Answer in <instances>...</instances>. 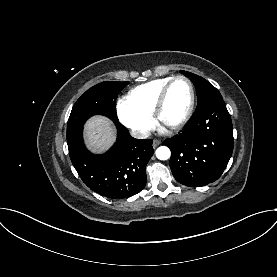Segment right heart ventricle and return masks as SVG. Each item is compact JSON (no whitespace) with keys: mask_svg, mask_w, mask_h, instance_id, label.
<instances>
[{"mask_svg":"<svg viewBox=\"0 0 277 277\" xmlns=\"http://www.w3.org/2000/svg\"><path fill=\"white\" fill-rule=\"evenodd\" d=\"M172 78H158L138 85L128 92L126 99L137 110L151 116L160 92Z\"/></svg>","mask_w":277,"mask_h":277,"instance_id":"1","label":"right heart ventricle"}]
</instances>
